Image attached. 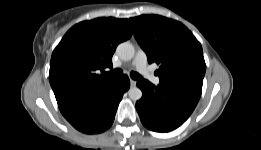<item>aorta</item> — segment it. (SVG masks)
Wrapping results in <instances>:
<instances>
[{
	"mask_svg": "<svg viewBox=\"0 0 261 150\" xmlns=\"http://www.w3.org/2000/svg\"><path fill=\"white\" fill-rule=\"evenodd\" d=\"M116 52L122 60L128 61L134 57L135 48L129 42H123L117 46ZM128 95L133 101H137L141 99L142 91L138 87H131L128 91Z\"/></svg>",
	"mask_w": 261,
	"mask_h": 150,
	"instance_id": "1",
	"label": "aorta"
}]
</instances>
